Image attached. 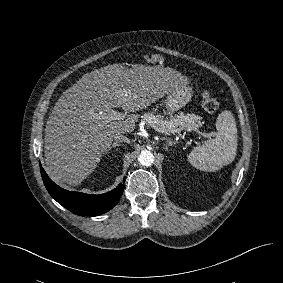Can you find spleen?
Here are the masks:
<instances>
[{
	"mask_svg": "<svg viewBox=\"0 0 283 283\" xmlns=\"http://www.w3.org/2000/svg\"><path fill=\"white\" fill-rule=\"evenodd\" d=\"M217 134L195 147L188 155V162L202 171H216L230 164L237 152V127L233 114L223 111L216 121Z\"/></svg>",
	"mask_w": 283,
	"mask_h": 283,
	"instance_id": "spleen-1",
	"label": "spleen"
}]
</instances>
